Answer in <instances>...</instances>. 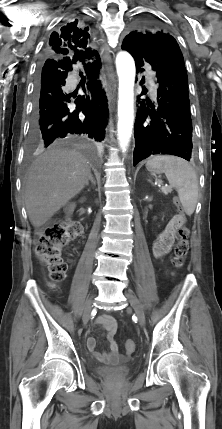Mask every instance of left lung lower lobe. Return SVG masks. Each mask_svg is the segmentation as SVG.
<instances>
[{"label": "left lung lower lobe", "instance_id": "obj_1", "mask_svg": "<svg viewBox=\"0 0 222 429\" xmlns=\"http://www.w3.org/2000/svg\"><path fill=\"white\" fill-rule=\"evenodd\" d=\"M146 43H133L129 53L137 72L149 63L156 72L157 106L138 96L133 164L155 154H171L187 161L192 153V120L188 92V76L184 58L176 40L164 35L155 52L145 48Z\"/></svg>", "mask_w": 222, "mask_h": 429}]
</instances>
